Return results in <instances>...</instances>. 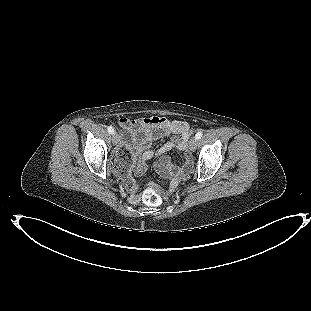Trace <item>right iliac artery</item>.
<instances>
[{"label": "right iliac artery", "instance_id": "right-iliac-artery-1", "mask_svg": "<svg viewBox=\"0 0 311 311\" xmlns=\"http://www.w3.org/2000/svg\"><path fill=\"white\" fill-rule=\"evenodd\" d=\"M108 132H109L110 134H113V133H114V128H113L112 126H109V127H108Z\"/></svg>", "mask_w": 311, "mask_h": 311}]
</instances>
